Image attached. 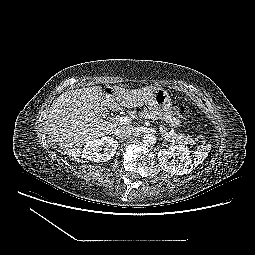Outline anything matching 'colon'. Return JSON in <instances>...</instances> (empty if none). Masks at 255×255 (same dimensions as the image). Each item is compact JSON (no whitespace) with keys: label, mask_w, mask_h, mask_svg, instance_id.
<instances>
[{"label":"colon","mask_w":255,"mask_h":255,"mask_svg":"<svg viewBox=\"0 0 255 255\" xmlns=\"http://www.w3.org/2000/svg\"><path fill=\"white\" fill-rule=\"evenodd\" d=\"M177 111H178V114L182 117L187 116L188 113H189L188 107L184 104L179 105L178 108H177Z\"/></svg>","instance_id":"obj_1"}]
</instances>
